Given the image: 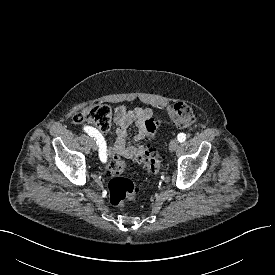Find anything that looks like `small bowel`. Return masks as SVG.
Masks as SVG:
<instances>
[{"label": "small bowel", "mask_w": 275, "mask_h": 275, "mask_svg": "<svg viewBox=\"0 0 275 275\" xmlns=\"http://www.w3.org/2000/svg\"><path fill=\"white\" fill-rule=\"evenodd\" d=\"M153 119V113L149 108L136 107L132 110L124 105L115 109L114 121L116 124L114 144L106 146V156L110 159H118L119 156L126 158L135 157L142 147L139 143L150 137L147 122ZM134 124L137 128L135 144L127 143V130Z\"/></svg>", "instance_id": "c3829d8e"}]
</instances>
